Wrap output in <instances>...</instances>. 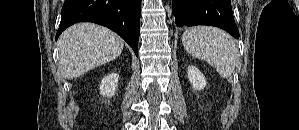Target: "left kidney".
<instances>
[{"instance_id": "obj_1", "label": "left kidney", "mask_w": 299, "mask_h": 130, "mask_svg": "<svg viewBox=\"0 0 299 130\" xmlns=\"http://www.w3.org/2000/svg\"><path fill=\"white\" fill-rule=\"evenodd\" d=\"M187 74L194 89L202 90L206 86L207 82L204 75L195 66H189Z\"/></svg>"}]
</instances>
